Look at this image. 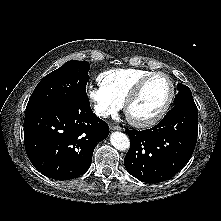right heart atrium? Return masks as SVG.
Listing matches in <instances>:
<instances>
[{
  "label": "right heart atrium",
  "instance_id": "d8ad5b80",
  "mask_svg": "<svg viewBox=\"0 0 221 221\" xmlns=\"http://www.w3.org/2000/svg\"><path fill=\"white\" fill-rule=\"evenodd\" d=\"M86 93L93 105L95 113L101 118L111 116L121 108V104L110 96L100 85L88 86Z\"/></svg>",
  "mask_w": 221,
  "mask_h": 221
}]
</instances>
